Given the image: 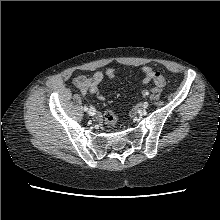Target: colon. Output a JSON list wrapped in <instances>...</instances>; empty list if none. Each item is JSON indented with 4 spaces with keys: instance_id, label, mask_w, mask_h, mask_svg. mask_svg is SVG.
Returning a JSON list of instances; mask_svg holds the SVG:
<instances>
[{
    "instance_id": "obj_1",
    "label": "colon",
    "mask_w": 220,
    "mask_h": 220,
    "mask_svg": "<svg viewBox=\"0 0 220 220\" xmlns=\"http://www.w3.org/2000/svg\"><path fill=\"white\" fill-rule=\"evenodd\" d=\"M155 85L164 88L168 85L167 80L164 77H159L155 79ZM104 120L106 124L114 129L117 126V115L113 108H108L104 113Z\"/></svg>"
}]
</instances>
